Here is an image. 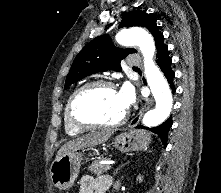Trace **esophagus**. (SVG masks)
Returning a JSON list of instances; mask_svg holds the SVG:
<instances>
[{"label": "esophagus", "instance_id": "obj_1", "mask_svg": "<svg viewBox=\"0 0 221 193\" xmlns=\"http://www.w3.org/2000/svg\"><path fill=\"white\" fill-rule=\"evenodd\" d=\"M153 100L149 99L147 101V103L140 109V111L138 112V114L135 116V118L131 121L130 123V127H134L135 125H137L140 121V119L142 118V116L144 115V113L149 109V107L152 105Z\"/></svg>", "mask_w": 221, "mask_h": 193}]
</instances>
